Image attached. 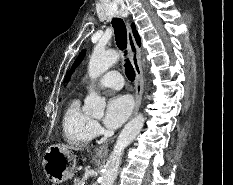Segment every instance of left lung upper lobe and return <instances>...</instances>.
I'll list each match as a JSON object with an SVG mask.
<instances>
[{"mask_svg": "<svg viewBox=\"0 0 233 185\" xmlns=\"http://www.w3.org/2000/svg\"><path fill=\"white\" fill-rule=\"evenodd\" d=\"M84 54H85V51H82V52L80 53V55L78 56V58H77V60H76V62H75V64H74V66H73V70H74V68L79 64V62L82 60V58L84 57Z\"/></svg>", "mask_w": 233, "mask_h": 185, "instance_id": "1", "label": "left lung upper lobe"}]
</instances>
